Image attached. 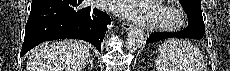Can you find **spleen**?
<instances>
[{
	"mask_svg": "<svg viewBox=\"0 0 230 71\" xmlns=\"http://www.w3.org/2000/svg\"><path fill=\"white\" fill-rule=\"evenodd\" d=\"M157 71H205L203 55L190 42L168 39L158 48Z\"/></svg>",
	"mask_w": 230,
	"mask_h": 71,
	"instance_id": "obj_1",
	"label": "spleen"
}]
</instances>
